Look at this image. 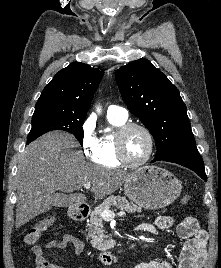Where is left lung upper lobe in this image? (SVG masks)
I'll list each match as a JSON object with an SVG mask.
<instances>
[{"label": "left lung upper lobe", "instance_id": "left-lung-upper-lobe-1", "mask_svg": "<svg viewBox=\"0 0 221 268\" xmlns=\"http://www.w3.org/2000/svg\"><path fill=\"white\" fill-rule=\"evenodd\" d=\"M115 76L129 111L155 139V160L196 145L186 105L178 89L149 60L133 61L119 68Z\"/></svg>", "mask_w": 221, "mask_h": 268}]
</instances>
